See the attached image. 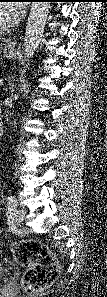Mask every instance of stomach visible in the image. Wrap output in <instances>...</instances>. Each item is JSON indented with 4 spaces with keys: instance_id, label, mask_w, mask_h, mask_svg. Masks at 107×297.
I'll return each instance as SVG.
<instances>
[{
    "instance_id": "1",
    "label": "stomach",
    "mask_w": 107,
    "mask_h": 297,
    "mask_svg": "<svg viewBox=\"0 0 107 297\" xmlns=\"http://www.w3.org/2000/svg\"><path fill=\"white\" fill-rule=\"evenodd\" d=\"M3 54L7 58H14L16 57L17 51L14 48L5 47L3 49Z\"/></svg>"
}]
</instances>
